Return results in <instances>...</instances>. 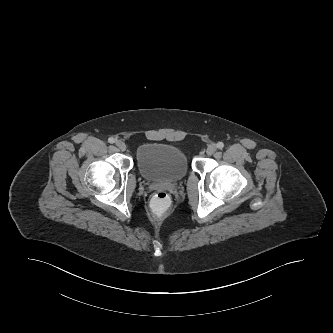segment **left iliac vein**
Wrapping results in <instances>:
<instances>
[{
  "label": "left iliac vein",
  "mask_w": 333,
  "mask_h": 333,
  "mask_svg": "<svg viewBox=\"0 0 333 333\" xmlns=\"http://www.w3.org/2000/svg\"><path fill=\"white\" fill-rule=\"evenodd\" d=\"M216 150H217V146L215 144H210L207 147L206 152H207L208 155H212V154H214L216 152Z\"/></svg>",
  "instance_id": "left-iliac-vein-1"
}]
</instances>
